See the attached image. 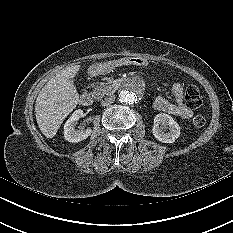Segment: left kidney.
Masks as SVG:
<instances>
[{"label":"left kidney","instance_id":"5707ae66","mask_svg":"<svg viewBox=\"0 0 233 233\" xmlns=\"http://www.w3.org/2000/svg\"><path fill=\"white\" fill-rule=\"evenodd\" d=\"M169 129L168 133H165L163 129ZM154 137L163 143H173L180 135V127L174 119L165 113L157 114L154 118V124L152 128Z\"/></svg>","mask_w":233,"mask_h":233}]
</instances>
